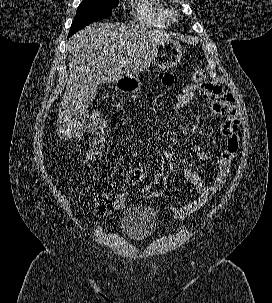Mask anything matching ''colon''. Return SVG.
Masks as SVG:
<instances>
[{"label":"colon","mask_w":272,"mask_h":303,"mask_svg":"<svg viewBox=\"0 0 272 303\" xmlns=\"http://www.w3.org/2000/svg\"><path fill=\"white\" fill-rule=\"evenodd\" d=\"M206 73L203 69L194 72L192 81L184 87L178 95L173 107V114L177 116L191 102L197 86L204 81ZM86 131H94L96 136L88 149L84 158L85 163H91L97 160L102 150L107 144L108 125L101 117H91L85 126ZM167 188V177L165 173L159 171L155 174L153 181L142 190V196L145 198L157 197L162 195ZM124 205V198L117 193H103L96 196L94 200V212L97 216L105 217L111 215Z\"/></svg>","instance_id":"obj_1"}]
</instances>
